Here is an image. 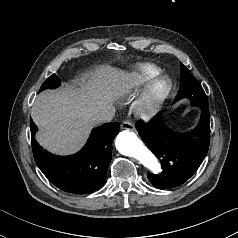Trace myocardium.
<instances>
[{
    "instance_id": "f54148a6",
    "label": "myocardium",
    "mask_w": 238,
    "mask_h": 238,
    "mask_svg": "<svg viewBox=\"0 0 238 238\" xmlns=\"http://www.w3.org/2000/svg\"><path fill=\"white\" fill-rule=\"evenodd\" d=\"M169 91L170 82L166 77L154 78L147 84L140 96L136 105V113L140 116L154 113L168 96Z\"/></svg>"
}]
</instances>
